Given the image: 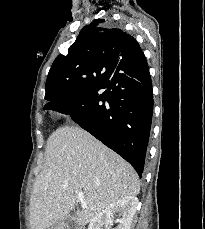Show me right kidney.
Here are the masks:
<instances>
[{"label": "right kidney", "instance_id": "1", "mask_svg": "<svg viewBox=\"0 0 205 229\" xmlns=\"http://www.w3.org/2000/svg\"><path fill=\"white\" fill-rule=\"evenodd\" d=\"M137 207L138 199L135 196L120 198L95 216L90 221L88 229H103V226L109 229L115 216H117L115 223H118L115 229H130Z\"/></svg>", "mask_w": 205, "mask_h": 229}]
</instances>
